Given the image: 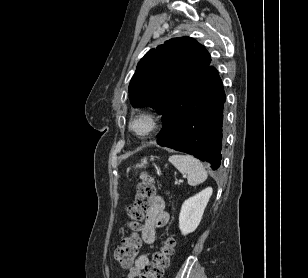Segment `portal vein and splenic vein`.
Segmentation results:
<instances>
[{
	"label": "portal vein and splenic vein",
	"instance_id": "obj_1",
	"mask_svg": "<svg viewBox=\"0 0 308 278\" xmlns=\"http://www.w3.org/2000/svg\"><path fill=\"white\" fill-rule=\"evenodd\" d=\"M179 182H183V180H182V179H180V180H179ZM176 183H177V182H176Z\"/></svg>",
	"mask_w": 308,
	"mask_h": 278
}]
</instances>
